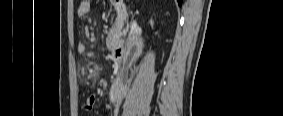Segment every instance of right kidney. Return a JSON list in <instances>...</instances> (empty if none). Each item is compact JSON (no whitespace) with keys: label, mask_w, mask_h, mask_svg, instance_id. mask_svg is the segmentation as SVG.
Masks as SVG:
<instances>
[{"label":"right kidney","mask_w":283,"mask_h":116,"mask_svg":"<svg viewBox=\"0 0 283 116\" xmlns=\"http://www.w3.org/2000/svg\"><path fill=\"white\" fill-rule=\"evenodd\" d=\"M151 26H153V21H150ZM143 40L139 37H134L131 43V49L135 56H140L143 49Z\"/></svg>","instance_id":"right-kidney-1"}]
</instances>
